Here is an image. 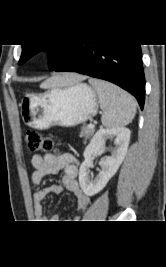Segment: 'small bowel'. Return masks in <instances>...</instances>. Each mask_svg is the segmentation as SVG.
Segmentation results:
<instances>
[{
  "mask_svg": "<svg viewBox=\"0 0 166 267\" xmlns=\"http://www.w3.org/2000/svg\"><path fill=\"white\" fill-rule=\"evenodd\" d=\"M31 164L33 167L32 182L39 186L41 185L45 176L56 175L60 171L63 172L61 178V184H51L47 187L38 189L33 195L34 201V214L36 219H46L43 200L49 194H59L64 190L72 192L78 205V211H85L89 204V196L82 191L78 181L79 167L75 157L69 153H63L60 155L45 154V155H33L31 158ZM52 222H60L58 216L50 217Z\"/></svg>",
  "mask_w": 166,
  "mask_h": 267,
  "instance_id": "c3829d8e",
  "label": "small bowel"
}]
</instances>
